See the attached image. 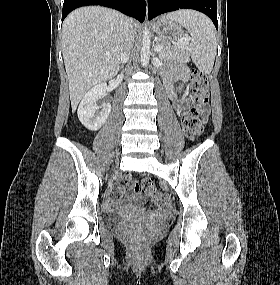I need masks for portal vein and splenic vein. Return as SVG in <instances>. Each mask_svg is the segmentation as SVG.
Wrapping results in <instances>:
<instances>
[{"instance_id":"obj_1","label":"portal vein and splenic vein","mask_w":280,"mask_h":285,"mask_svg":"<svg viewBox=\"0 0 280 285\" xmlns=\"http://www.w3.org/2000/svg\"><path fill=\"white\" fill-rule=\"evenodd\" d=\"M190 39L188 37H184L181 40H178L177 43H175L174 45L177 47H185V44L188 43ZM163 49L162 46H156L155 51L160 52ZM107 57L109 56V54L106 55Z\"/></svg>"}]
</instances>
